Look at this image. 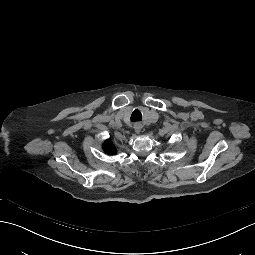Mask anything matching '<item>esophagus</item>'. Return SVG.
I'll list each match as a JSON object with an SVG mask.
<instances>
[{"label":"esophagus","instance_id":"obj_1","mask_svg":"<svg viewBox=\"0 0 255 255\" xmlns=\"http://www.w3.org/2000/svg\"><path fill=\"white\" fill-rule=\"evenodd\" d=\"M134 129H135V131H136L137 133H139V132L141 131V129H142V125H141L140 123H136V124L134 125Z\"/></svg>","mask_w":255,"mask_h":255}]
</instances>
